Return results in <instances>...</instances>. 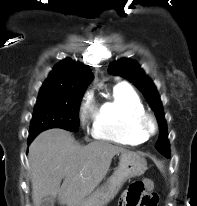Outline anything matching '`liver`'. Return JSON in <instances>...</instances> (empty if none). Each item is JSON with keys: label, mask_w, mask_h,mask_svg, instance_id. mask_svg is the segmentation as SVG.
Wrapping results in <instances>:
<instances>
[{"label": "liver", "mask_w": 197, "mask_h": 206, "mask_svg": "<svg viewBox=\"0 0 197 206\" xmlns=\"http://www.w3.org/2000/svg\"><path fill=\"white\" fill-rule=\"evenodd\" d=\"M122 152L127 150L104 141L81 146L63 129L42 132L28 156L34 206H41L47 197H57L61 205L79 204L104 179L112 158Z\"/></svg>", "instance_id": "1"}]
</instances>
